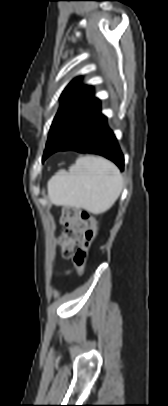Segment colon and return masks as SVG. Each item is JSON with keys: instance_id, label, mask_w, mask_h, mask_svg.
I'll use <instances>...</instances> for the list:
<instances>
[{"instance_id": "5ec220e1", "label": "colon", "mask_w": 168, "mask_h": 406, "mask_svg": "<svg viewBox=\"0 0 168 406\" xmlns=\"http://www.w3.org/2000/svg\"><path fill=\"white\" fill-rule=\"evenodd\" d=\"M61 224L65 230L61 236L62 254L71 257L79 275H82L87 261L88 249L97 234L94 214L74 207L63 210Z\"/></svg>"}]
</instances>
